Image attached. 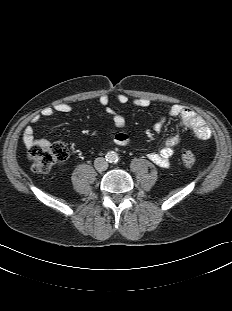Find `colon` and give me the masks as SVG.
I'll use <instances>...</instances> for the list:
<instances>
[{"mask_svg": "<svg viewBox=\"0 0 232 311\" xmlns=\"http://www.w3.org/2000/svg\"><path fill=\"white\" fill-rule=\"evenodd\" d=\"M68 148L62 142H54L44 145L33 146L29 151L32 170L35 173H46L55 164L66 160ZM181 161L186 167L195 164V154L191 149L184 148L181 152Z\"/></svg>", "mask_w": 232, "mask_h": 311, "instance_id": "1", "label": "colon"}]
</instances>
